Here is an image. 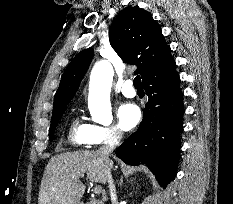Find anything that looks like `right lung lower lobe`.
<instances>
[{
	"mask_svg": "<svg viewBox=\"0 0 233 204\" xmlns=\"http://www.w3.org/2000/svg\"><path fill=\"white\" fill-rule=\"evenodd\" d=\"M143 83L148 95L143 121L117 149L116 155L130 165L145 162L165 187L177 173L185 112L176 64L151 75Z\"/></svg>",
	"mask_w": 233,
	"mask_h": 204,
	"instance_id": "1",
	"label": "right lung lower lobe"
}]
</instances>
